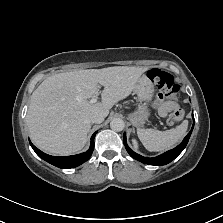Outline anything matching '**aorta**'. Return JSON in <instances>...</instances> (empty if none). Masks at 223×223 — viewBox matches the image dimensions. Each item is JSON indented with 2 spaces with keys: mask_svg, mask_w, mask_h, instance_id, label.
I'll return each instance as SVG.
<instances>
[{
  "mask_svg": "<svg viewBox=\"0 0 223 223\" xmlns=\"http://www.w3.org/2000/svg\"><path fill=\"white\" fill-rule=\"evenodd\" d=\"M110 127L113 131L119 132L122 131L125 127V123L121 118H114L110 122Z\"/></svg>",
  "mask_w": 223,
  "mask_h": 223,
  "instance_id": "obj_1",
  "label": "aorta"
}]
</instances>
